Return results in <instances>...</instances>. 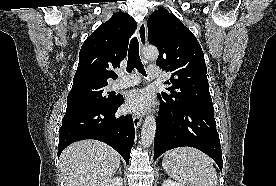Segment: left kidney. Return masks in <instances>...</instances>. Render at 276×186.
<instances>
[{
    "label": "left kidney",
    "mask_w": 276,
    "mask_h": 186,
    "mask_svg": "<svg viewBox=\"0 0 276 186\" xmlns=\"http://www.w3.org/2000/svg\"><path fill=\"white\" fill-rule=\"evenodd\" d=\"M162 186H184L181 183L175 182L171 179H167L163 182Z\"/></svg>",
    "instance_id": "obj_1"
}]
</instances>
